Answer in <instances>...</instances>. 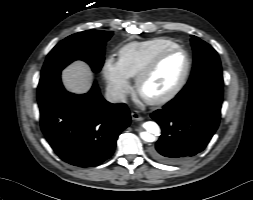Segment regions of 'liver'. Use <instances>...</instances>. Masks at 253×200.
Instances as JSON below:
<instances>
[{"label": "liver", "instance_id": "6515ba94", "mask_svg": "<svg viewBox=\"0 0 253 200\" xmlns=\"http://www.w3.org/2000/svg\"><path fill=\"white\" fill-rule=\"evenodd\" d=\"M92 77L89 66L82 61L73 62L62 72L65 88L76 94H82L89 90Z\"/></svg>", "mask_w": 253, "mask_h": 200}]
</instances>
